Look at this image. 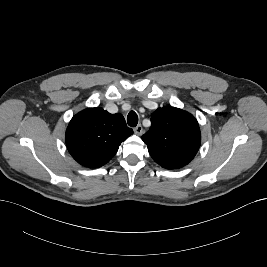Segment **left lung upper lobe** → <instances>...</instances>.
I'll return each instance as SVG.
<instances>
[{
  "label": "left lung upper lobe",
  "instance_id": "1",
  "mask_svg": "<svg viewBox=\"0 0 267 267\" xmlns=\"http://www.w3.org/2000/svg\"><path fill=\"white\" fill-rule=\"evenodd\" d=\"M142 140L156 163L166 169H178L194 158L201 135L192 114L175 107H163L153 112L151 127Z\"/></svg>",
  "mask_w": 267,
  "mask_h": 267
}]
</instances>
